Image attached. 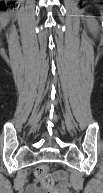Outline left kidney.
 I'll return each mask as SVG.
<instances>
[{
    "label": "left kidney",
    "instance_id": "5707ae66",
    "mask_svg": "<svg viewBox=\"0 0 103 193\" xmlns=\"http://www.w3.org/2000/svg\"><path fill=\"white\" fill-rule=\"evenodd\" d=\"M91 28L95 30V24L91 23Z\"/></svg>",
    "mask_w": 103,
    "mask_h": 193
}]
</instances>
